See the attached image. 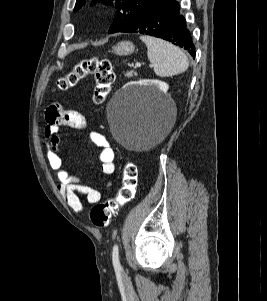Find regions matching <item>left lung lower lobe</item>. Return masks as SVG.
Returning a JSON list of instances; mask_svg holds the SVG:
<instances>
[{
  "label": "left lung lower lobe",
  "mask_w": 267,
  "mask_h": 301,
  "mask_svg": "<svg viewBox=\"0 0 267 301\" xmlns=\"http://www.w3.org/2000/svg\"><path fill=\"white\" fill-rule=\"evenodd\" d=\"M117 32L140 33L162 38L195 56L191 33L186 27L185 18L180 14V6L176 0H157Z\"/></svg>",
  "instance_id": "1"
}]
</instances>
